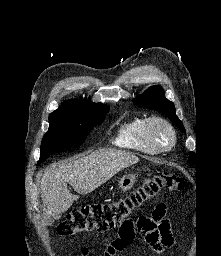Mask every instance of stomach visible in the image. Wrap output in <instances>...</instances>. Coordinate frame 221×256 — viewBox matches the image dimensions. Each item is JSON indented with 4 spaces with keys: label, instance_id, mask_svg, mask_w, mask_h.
<instances>
[{
    "label": "stomach",
    "instance_id": "1",
    "mask_svg": "<svg viewBox=\"0 0 221 256\" xmlns=\"http://www.w3.org/2000/svg\"><path fill=\"white\" fill-rule=\"evenodd\" d=\"M135 182V175H124L119 181V188L124 192L128 191L133 187Z\"/></svg>",
    "mask_w": 221,
    "mask_h": 256
}]
</instances>
